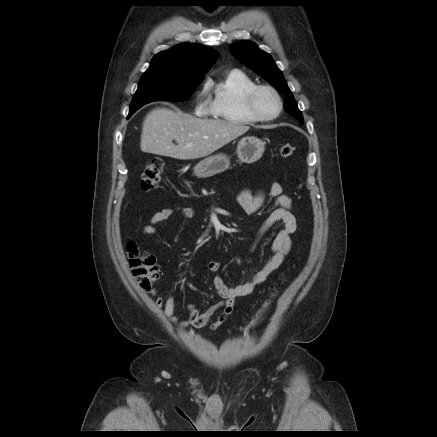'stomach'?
Here are the masks:
<instances>
[{"label":"stomach","mask_w":437,"mask_h":437,"mask_svg":"<svg viewBox=\"0 0 437 437\" xmlns=\"http://www.w3.org/2000/svg\"><path fill=\"white\" fill-rule=\"evenodd\" d=\"M265 151V143L256 137H244L237 145V155L241 162L254 163ZM230 166L229 157L220 153L200 161L193 169L198 178H207L222 173Z\"/></svg>","instance_id":"1"}]
</instances>
